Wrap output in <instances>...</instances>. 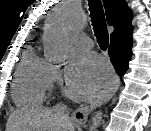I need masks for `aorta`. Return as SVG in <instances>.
Segmentation results:
<instances>
[{
  "instance_id": "762f6f07",
  "label": "aorta",
  "mask_w": 151,
  "mask_h": 131,
  "mask_svg": "<svg viewBox=\"0 0 151 131\" xmlns=\"http://www.w3.org/2000/svg\"><path fill=\"white\" fill-rule=\"evenodd\" d=\"M80 22L77 13L71 6L64 7L62 11L50 17L45 29V55L52 61L62 60L67 53V36L79 28ZM103 114L97 111L92 117V128L101 125Z\"/></svg>"
}]
</instances>
